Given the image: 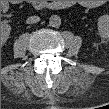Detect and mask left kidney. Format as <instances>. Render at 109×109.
<instances>
[{"mask_svg": "<svg viewBox=\"0 0 109 109\" xmlns=\"http://www.w3.org/2000/svg\"><path fill=\"white\" fill-rule=\"evenodd\" d=\"M108 26H109V20L107 16H101L98 19V31L102 38H106L108 35Z\"/></svg>", "mask_w": 109, "mask_h": 109, "instance_id": "obj_1", "label": "left kidney"}]
</instances>
